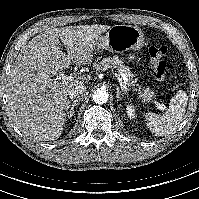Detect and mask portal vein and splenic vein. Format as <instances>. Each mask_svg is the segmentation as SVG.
Instances as JSON below:
<instances>
[{
  "instance_id": "portal-vein-and-splenic-vein-1",
  "label": "portal vein and splenic vein",
  "mask_w": 199,
  "mask_h": 199,
  "mask_svg": "<svg viewBox=\"0 0 199 199\" xmlns=\"http://www.w3.org/2000/svg\"><path fill=\"white\" fill-rule=\"evenodd\" d=\"M115 77H117V80L119 81V84H120L122 90L125 92V94H128V89L126 87V82H127L126 77L124 76L123 78L122 77L120 78V75H118V74H115ZM72 78H74L72 75L67 76L62 73L58 79L65 81V80H71ZM153 104L160 110H164V108H165V106L163 104H161L157 101H153Z\"/></svg>"
}]
</instances>
